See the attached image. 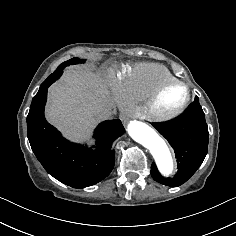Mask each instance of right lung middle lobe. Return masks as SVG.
Masks as SVG:
<instances>
[{"label": "right lung middle lobe", "instance_id": "dd1d6c3e", "mask_svg": "<svg viewBox=\"0 0 236 236\" xmlns=\"http://www.w3.org/2000/svg\"><path fill=\"white\" fill-rule=\"evenodd\" d=\"M78 63H83V60H80L79 58H72L66 62H63L62 64H60L58 66V68L54 71V73H52L44 82H48V81H56L62 74L63 72V69L66 67V66H69V65H73V64H78Z\"/></svg>", "mask_w": 236, "mask_h": 236}]
</instances>
